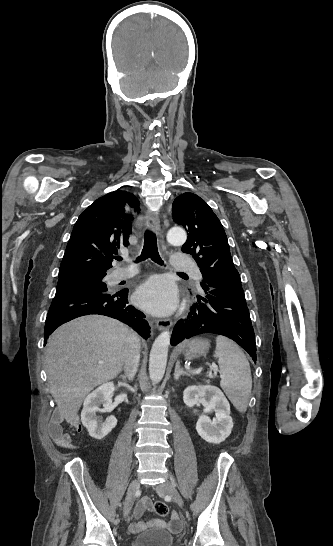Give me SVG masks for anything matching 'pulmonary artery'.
<instances>
[{
  "mask_svg": "<svg viewBox=\"0 0 333 546\" xmlns=\"http://www.w3.org/2000/svg\"><path fill=\"white\" fill-rule=\"evenodd\" d=\"M172 266L176 270L180 271H192L196 279H201V273L195 268L194 262L186 255H175L172 258ZM137 267L135 265H129L128 267L116 268L112 274L111 279L113 281H120L134 276L137 273Z\"/></svg>",
  "mask_w": 333,
  "mask_h": 546,
  "instance_id": "1",
  "label": "pulmonary artery"
}]
</instances>
